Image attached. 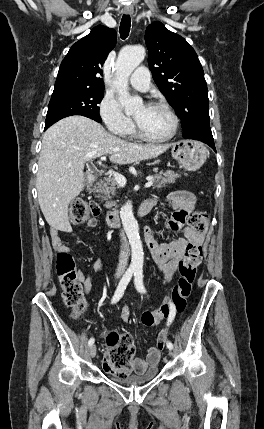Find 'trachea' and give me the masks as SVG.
<instances>
[{"instance_id":"obj_1","label":"trachea","mask_w":264,"mask_h":429,"mask_svg":"<svg viewBox=\"0 0 264 429\" xmlns=\"http://www.w3.org/2000/svg\"><path fill=\"white\" fill-rule=\"evenodd\" d=\"M130 27H131L130 15H123L120 23V29H119L120 36L122 39H126L128 37L130 32Z\"/></svg>"}]
</instances>
